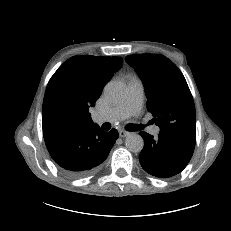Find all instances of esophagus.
I'll list each match as a JSON object with an SVG mask.
<instances>
[{
    "instance_id": "esophagus-1",
    "label": "esophagus",
    "mask_w": 231,
    "mask_h": 231,
    "mask_svg": "<svg viewBox=\"0 0 231 231\" xmlns=\"http://www.w3.org/2000/svg\"><path fill=\"white\" fill-rule=\"evenodd\" d=\"M119 135H120V137L123 138V137L128 136V135H129V132L126 131V130L120 129V130H119Z\"/></svg>"
}]
</instances>
